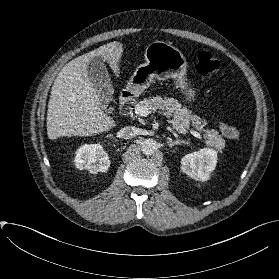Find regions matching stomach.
Masks as SVG:
<instances>
[{
	"instance_id": "0dacf381",
	"label": "stomach",
	"mask_w": 279,
	"mask_h": 279,
	"mask_svg": "<svg viewBox=\"0 0 279 279\" xmlns=\"http://www.w3.org/2000/svg\"><path fill=\"white\" fill-rule=\"evenodd\" d=\"M145 63L137 67L129 85L134 90H143L152 82L174 79L175 87L182 93L185 101L195 100V90L186 78L187 61L183 53L163 41H154L145 49Z\"/></svg>"
}]
</instances>
